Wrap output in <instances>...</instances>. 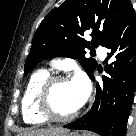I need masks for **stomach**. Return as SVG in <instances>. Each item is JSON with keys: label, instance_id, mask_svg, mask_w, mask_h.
I'll return each mask as SVG.
<instances>
[{"label": "stomach", "instance_id": "obj_1", "mask_svg": "<svg viewBox=\"0 0 136 136\" xmlns=\"http://www.w3.org/2000/svg\"><path fill=\"white\" fill-rule=\"evenodd\" d=\"M55 136H80V135H78L77 133H74V132L66 131V132L58 133Z\"/></svg>", "mask_w": 136, "mask_h": 136}]
</instances>
